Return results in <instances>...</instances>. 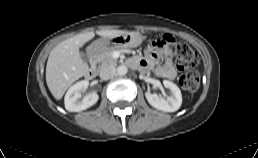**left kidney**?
I'll use <instances>...</instances> for the list:
<instances>
[{"label": "left kidney", "instance_id": "5707ae66", "mask_svg": "<svg viewBox=\"0 0 258 158\" xmlns=\"http://www.w3.org/2000/svg\"><path fill=\"white\" fill-rule=\"evenodd\" d=\"M163 85L171 91L170 96L163 98L155 93L146 92L145 97L152 107L165 112H175L182 104L181 91L179 87L171 81L164 80Z\"/></svg>", "mask_w": 258, "mask_h": 158}]
</instances>
